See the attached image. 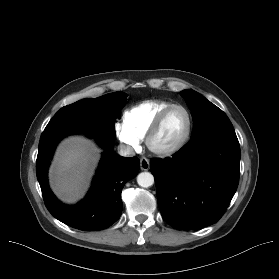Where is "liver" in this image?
Returning <instances> with one entry per match:
<instances>
[{
    "instance_id": "6515ba94",
    "label": "liver",
    "mask_w": 279,
    "mask_h": 279,
    "mask_svg": "<svg viewBox=\"0 0 279 279\" xmlns=\"http://www.w3.org/2000/svg\"><path fill=\"white\" fill-rule=\"evenodd\" d=\"M99 158L95 144L83 137H70L59 146L50 169L55 194L68 203L82 198Z\"/></svg>"
}]
</instances>
